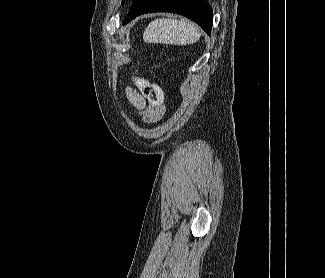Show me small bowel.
<instances>
[{
	"mask_svg": "<svg viewBox=\"0 0 325 278\" xmlns=\"http://www.w3.org/2000/svg\"><path fill=\"white\" fill-rule=\"evenodd\" d=\"M126 96L130 103L140 112L141 118L145 123H155L162 117L164 108H156L152 105L147 106L143 95L135 88L128 87Z\"/></svg>",
	"mask_w": 325,
	"mask_h": 278,
	"instance_id": "1",
	"label": "small bowel"
}]
</instances>
